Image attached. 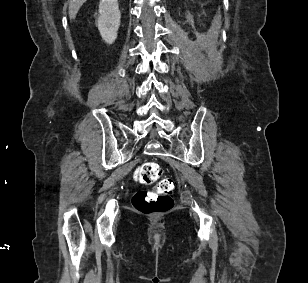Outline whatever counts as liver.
<instances>
[{"label":"liver","mask_w":308,"mask_h":283,"mask_svg":"<svg viewBox=\"0 0 308 283\" xmlns=\"http://www.w3.org/2000/svg\"><path fill=\"white\" fill-rule=\"evenodd\" d=\"M87 0H69V17L70 19H75L80 7Z\"/></svg>","instance_id":"6515ba94"}]
</instances>
